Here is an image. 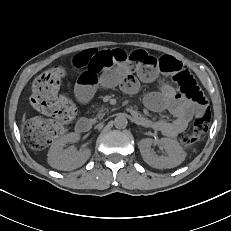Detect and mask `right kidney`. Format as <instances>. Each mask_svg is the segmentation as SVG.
<instances>
[{"mask_svg":"<svg viewBox=\"0 0 231 231\" xmlns=\"http://www.w3.org/2000/svg\"><path fill=\"white\" fill-rule=\"evenodd\" d=\"M78 133H68L56 140L48 151V163L58 170H73L82 166L90 157L91 151L84 149L77 151L70 147L64 149L67 143H75L79 140Z\"/></svg>","mask_w":231,"mask_h":231,"instance_id":"right-kidney-1","label":"right kidney"}]
</instances>
